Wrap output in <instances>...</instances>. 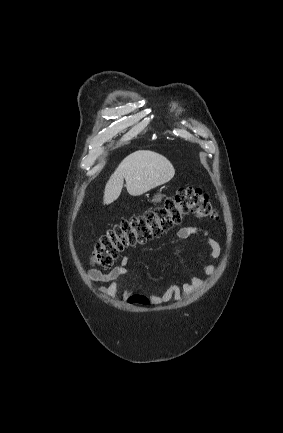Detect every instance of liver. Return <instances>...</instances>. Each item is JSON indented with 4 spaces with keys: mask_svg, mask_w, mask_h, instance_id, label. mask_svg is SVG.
<instances>
[{
    "mask_svg": "<svg viewBox=\"0 0 283 433\" xmlns=\"http://www.w3.org/2000/svg\"><path fill=\"white\" fill-rule=\"evenodd\" d=\"M175 174V168L170 160L153 152V150H135L123 158L109 180L106 182L103 202L110 204L118 198L124 178L126 188L132 196H139L150 188L164 184L171 180Z\"/></svg>",
    "mask_w": 283,
    "mask_h": 433,
    "instance_id": "1",
    "label": "liver"
}]
</instances>
